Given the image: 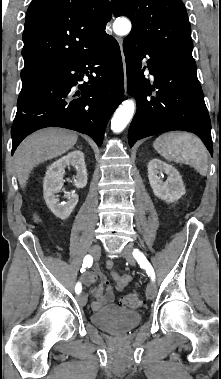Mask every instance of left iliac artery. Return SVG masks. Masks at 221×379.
Masks as SVG:
<instances>
[{
	"label": "left iliac artery",
	"mask_w": 221,
	"mask_h": 379,
	"mask_svg": "<svg viewBox=\"0 0 221 379\" xmlns=\"http://www.w3.org/2000/svg\"><path fill=\"white\" fill-rule=\"evenodd\" d=\"M133 256L137 260V262L140 264V266L146 270L151 280L155 281L154 269L152 265L150 264V262L147 260L146 256L138 249L133 250Z\"/></svg>",
	"instance_id": "1"
}]
</instances>
